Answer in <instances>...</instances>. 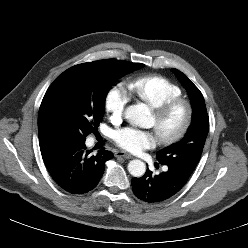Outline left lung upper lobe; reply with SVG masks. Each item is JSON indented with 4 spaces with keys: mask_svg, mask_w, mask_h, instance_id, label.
I'll return each instance as SVG.
<instances>
[{
    "mask_svg": "<svg viewBox=\"0 0 248 248\" xmlns=\"http://www.w3.org/2000/svg\"><path fill=\"white\" fill-rule=\"evenodd\" d=\"M174 72L183 83L191 99L192 122L184 138L157 153V160L162 165L176 168L183 175L190 177L200 161L209 131V117L202 93L177 69Z\"/></svg>",
    "mask_w": 248,
    "mask_h": 248,
    "instance_id": "1",
    "label": "left lung upper lobe"
}]
</instances>
